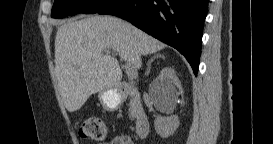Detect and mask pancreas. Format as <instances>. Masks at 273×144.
Segmentation results:
<instances>
[{
    "label": "pancreas",
    "mask_w": 273,
    "mask_h": 144,
    "mask_svg": "<svg viewBox=\"0 0 273 144\" xmlns=\"http://www.w3.org/2000/svg\"><path fill=\"white\" fill-rule=\"evenodd\" d=\"M129 117L133 120V118L135 117V113L133 112L132 108H129Z\"/></svg>",
    "instance_id": "pancreas-1"
}]
</instances>
